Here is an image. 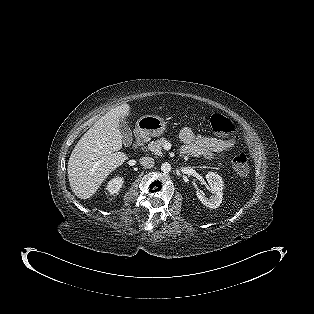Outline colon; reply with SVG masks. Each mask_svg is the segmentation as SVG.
<instances>
[{"label": "colon", "mask_w": 314, "mask_h": 314, "mask_svg": "<svg viewBox=\"0 0 314 314\" xmlns=\"http://www.w3.org/2000/svg\"><path fill=\"white\" fill-rule=\"evenodd\" d=\"M210 127L213 132L220 135H230L234 132L233 122L221 113H214L210 118ZM233 167L239 175L245 176L250 171L249 157L240 153L233 159Z\"/></svg>", "instance_id": "5ec220e1"}]
</instances>
